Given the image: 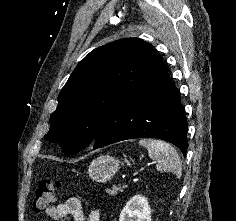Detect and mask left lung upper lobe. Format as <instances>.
Wrapping results in <instances>:
<instances>
[{"mask_svg": "<svg viewBox=\"0 0 236 221\" xmlns=\"http://www.w3.org/2000/svg\"><path fill=\"white\" fill-rule=\"evenodd\" d=\"M162 57L138 38L120 39L80 61L58 96L45 138L74 154L93 142L113 110Z\"/></svg>", "mask_w": 236, "mask_h": 221, "instance_id": "1", "label": "left lung upper lobe"}]
</instances>
